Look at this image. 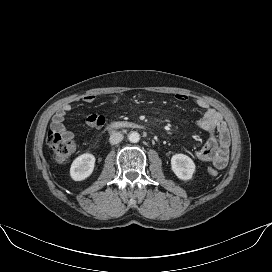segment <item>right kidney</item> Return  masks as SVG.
Wrapping results in <instances>:
<instances>
[{
  "mask_svg": "<svg viewBox=\"0 0 272 272\" xmlns=\"http://www.w3.org/2000/svg\"><path fill=\"white\" fill-rule=\"evenodd\" d=\"M95 165V157L90 153H84L77 157L70 168V176L74 181H82L89 177Z\"/></svg>",
  "mask_w": 272,
  "mask_h": 272,
  "instance_id": "1",
  "label": "right kidney"
}]
</instances>
